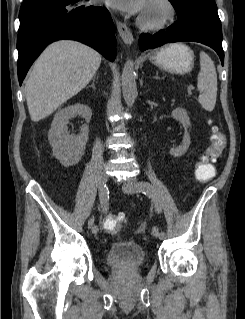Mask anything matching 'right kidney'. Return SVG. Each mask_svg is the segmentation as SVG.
<instances>
[{
	"instance_id": "right-kidney-1",
	"label": "right kidney",
	"mask_w": 245,
	"mask_h": 319,
	"mask_svg": "<svg viewBox=\"0 0 245 319\" xmlns=\"http://www.w3.org/2000/svg\"><path fill=\"white\" fill-rule=\"evenodd\" d=\"M81 115L86 124L80 127L79 135L70 136L67 130L69 119ZM92 110L84 104H75L58 111L48 132V140L52 146L53 155L65 167L77 164L82 158L88 140Z\"/></svg>"
}]
</instances>
